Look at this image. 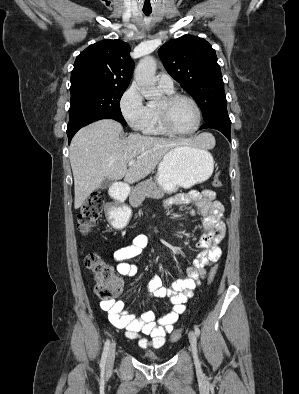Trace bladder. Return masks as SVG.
Wrapping results in <instances>:
<instances>
[{
  "label": "bladder",
  "mask_w": 299,
  "mask_h": 394,
  "mask_svg": "<svg viewBox=\"0 0 299 394\" xmlns=\"http://www.w3.org/2000/svg\"><path fill=\"white\" fill-rule=\"evenodd\" d=\"M142 357L145 361H148L151 363H157V362L162 361V358L154 352H146L143 354Z\"/></svg>",
  "instance_id": "31cf9c89"
}]
</instances>
